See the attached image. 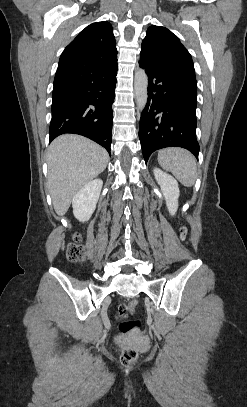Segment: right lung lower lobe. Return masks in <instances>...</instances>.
Returning <instances> with one entry per match:
<instances>
[{"label":"right lung lower lobe","instance_id":"98d812e1","mask_svg":"<svg viewBox=\"0 0 247 407\" xmlns=\"http://www.w3.org/2000/svg\"><path fill=\"white\" fill-rule=\"evenodd\" d=\"M117 70L116 61L93 70L69 88L53 92L50 142L61 134L74 133L90 138L110 153Z\"/></svg>","mask_w":247,"mask_h":407}]
</instances>
